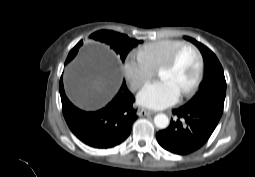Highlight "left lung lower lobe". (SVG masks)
Listing matches in <instances>:
<instances>
[{
  "label": "left lung lower lobe",
  "mask_w": 255,
  "mask_h": 177,
  "mask_svg": "<svg viewBox=\"0 0 255 177\" xmlns=\"http://www.w3.org/2000/svg\"><path fill=\"white\" fill-rule=\"evenodd\" d=\"M178 117L171 119L167 129L157 132L158 143L178 155L190 154L201 148L210 138L223 112L216 108H186L172 111Z\"/></svg>",
  "instance_id": "0a47b994"
}]
</instances>
